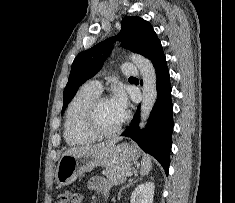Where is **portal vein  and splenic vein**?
Returning <instances> with one entry per match:
<instances>
[{
	"label": "portal vein and splenic vein",
	"instance_id": "1",
	"mask_svg": "<svg viewBox=\"0 0 235 203\" xmlns=\"http://www.w3.org/2000/svg\"><path fill=\"white\" fill-rule=\"evenodd\" d=\"M132 175V172L129 170L127 173H126V176H131Z\"/></svg>",
	"mask_w": 235,
	"mask_h": 203
}]
</instances>
